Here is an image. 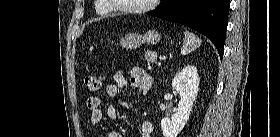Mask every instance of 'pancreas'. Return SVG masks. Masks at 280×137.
Wrapping results in <instances>:
<instances>
[{
	"label": "pancreas",
	"instance_id": "pancreas-1",
	"mask_svg": "<svg viewBox=\"0 0 280 137\" xmlns=\"http://www.w3.org/2000/svg\"><path fill=\"white\" fill-rule=\"evenodd\" d=\"M145 59L148 62L156 63V61H157V54L155 52H152V51H147L145 53Z\"/></svg>",
	"mask_w": 280,
	"mask_h": 137
}]
</instances>
